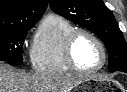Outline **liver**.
I'll list each match as a JSON object with an SVG mask.
<instances>
[{"label":"liver","mask_w":127,"mask_h":92,"mask_svg":"<svg viewBox=\"0 0 127 92\" xmlns=\"http://www.w3.org/2000/svg\"><path fill=\"white\" fill-rule=\"evenodd\" d=\"M86 77L29 75L0 63V92H70Z\"/></svg>","instance_id":"6515ba94"}]
</instances>
